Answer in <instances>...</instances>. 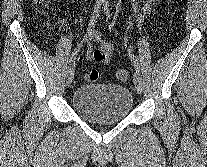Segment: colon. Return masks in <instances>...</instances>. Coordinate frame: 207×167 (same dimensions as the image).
<instances>
[{"label": "colon", "instance_id": "5ec220e1", "mask_svg": "<svg viewBox=\"0 0 207 167\" xmlns=\"http://www.w3.org/2000/svg\"><path fill=\"white\" fill-rule=\"evenodd\" d=\"M169 2H171V0H168ZM35 2L41 6L45 5L48 0H35ZM117 77L118 79L122 80V81H126L129 77V73L127 70L121 69L117 72ZM99 78V73L96 70H92L90 71L87 75H86V79L92 82L97 81Z\"/></svg>", "mask_w": 207, "mask_h": 167}]
</instances>
